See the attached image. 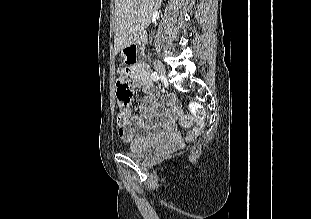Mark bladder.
<instances>
[{"mask_svg":"<svg viewBox=\"0 0 311 219\" xmlns=\"http://www.w3.org/2000/svg\"><path fill=\"white\" fill-rule=\"evenodd\" d=\"M153 147L146 142L134 140L128 147V155L131 157H141L149 154Z\"/></svg>","mask_w":311,"mask_h":219,"instance_id":"obj_1","label":"bladder"}]
</instances>
